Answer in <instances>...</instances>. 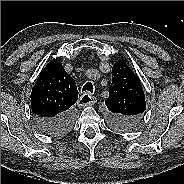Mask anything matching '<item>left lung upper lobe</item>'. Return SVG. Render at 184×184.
Wrapping results in <instances>:
<instances>
[{"label":"left lung upper lobe","mask_w":184,"mask_h":184,"mask_svg":"<svg viewBox=\"0 0 184 184\" xmlns=\"http://www.w3.org/2000/svg\"><path fill=\"white\" fill-rule=\"evenodd\" d=\"M105 104L110 123L120 130L133 129L144 115L146 101L142 84L125 60L112 68V83Z\"/></svg>","instance_id":"left-lung-upper-lobe-1"}]
</instances>
